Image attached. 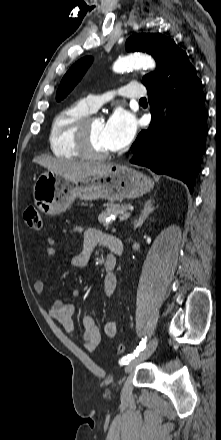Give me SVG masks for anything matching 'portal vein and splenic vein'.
Segmentation results:
<instances>
[{"label": "portal vein and splenic vein", "mask_w": 221, "mask_h": 440, "mask_svg": "<svg viewBox=\"0 0 221 440\" xmlns=\"http://www.w3.org/2000/svg\"><path fill=\"white\" fill-rule=\"evenodd\" d=\"M131 213L130 212H126L122 215V217H120V221L126 220L130 217Z\"/></svg>", "instance_id": "1"}]
</instances>
